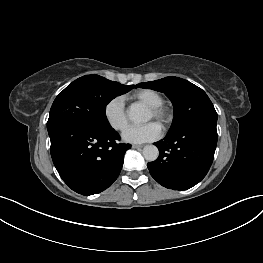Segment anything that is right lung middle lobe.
I'll return each instance as SVG.
<instances>
[{
  "label": "right lung middle lobe",
  "instance_id": "right-lung-middle-lobe-1",
  "mask_svg": "<svg viewBox=\"0 0 263 263\" xmlns=\"http://www.w3.org/2000/svg\"><path fill=\"white\" fill-rule=\"evenodd\" d=\"M134 88L99 75H86L67 86L54 100L47 129L64 123H79L96 128L111 127L105 114L106 105L115 97Z\"/></svg>",
  "mask_w": 263,
  "mask_h": 263
}]
</instances>
